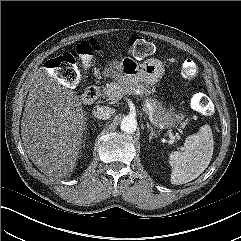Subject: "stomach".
I'll list each match as a JSON object with an SVG mask.
<instances>
[{
  "label": "stomach",
  "instance_id": "1",
  "mask_svg": "<svg viewBox=\"0 0 241 241\" xmlns=\"http://www.w3.org/2000/svg\"><path fill=\"white\" fill-rule=\"evenodd\" d=\"M128 63L127 60L122 62L118 70L119 81L126 87L137 86L140 83L152 87L164 74V66L157 59H148L142 64L132 62V66Z\"/></svg>",
  "mask_w": 241,
  "mask_h": 241
}]
</instances>
